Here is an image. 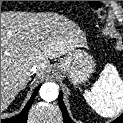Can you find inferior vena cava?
<instances>
[{"instance_id": "1", "label": "inferior vena cava", "mask_w": 123, "mask_h": 123, "mask_svg": "<svg viewBox=\"0 0 123 123\" xmlns=\"http://www.w3.org/2000/svg\"><path fill=\"white\" fill-rule=\"evenodd\" d=\"M36 68H37V66H35V65L32 66V67H30V69H29V71H28L27 74H28L29 76L33 75V74L37 71Z\"/></svg>"}]
</instances>
